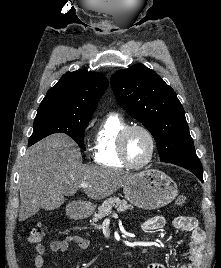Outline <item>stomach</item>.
Returning <instances> with one entry per match:
<instances>
[{
    "label": "stomach",
    "mask_w": 221,
    "mask_h": 268,
    "mask_svg": "<svg viewBox=\"0 0 221 268\" xmlns=\"http://www.w3.org/2000/svg\"><path fill=\"white\" fill-rule=\"evenodd\" d=\"M126 199L135 206L146 209H158L172 202L178 193L176 183L164 172L156 169H146L134 174L123 185ZM94 206L88 202L76 203L68 211L74 219L89 217Z\"/></svg>",
    "instance_id": "0dacf381"
}]
</instances>
